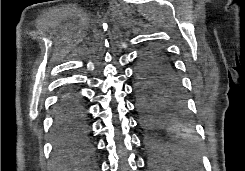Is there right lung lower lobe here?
<instances>
[{
	"mask_svg": "<svg viewBox=\"0 0 245 171\" xmlns=\"http://www.w3.org/2000/svg\"><path fill=\"white\" fill-rule=\"evenodd\" d=\"M53 136L55 154L59 157L88 147L90 127L87 108L79 91L72 86L64 89L56 105Z\"/></svg>",
	"mask_w": 245,
	"mask_h": 171,
	"instance_id": "obj_1",
	"label": "right lung lower lobe"
}]
</instances>
